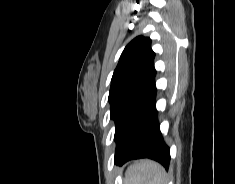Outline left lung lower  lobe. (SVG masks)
<instances>
[{"instance_id": "obj_1", "label": "left lung lower lobe", "mask_w": 235, "mask_h": 184, "mask_svg": "<svg viewBox=\"0 0 235 184\" xmlns=\"http://www.w3.org/2000/svg\"><path fill=\"white\" fill-rule=\"evenodd\" d=\"M156 90L140 116L114 163L122 165L132 159L150 158L161 163L166 170L170 164V149L160 132L156 110Z\"/></svg>"}]
</instances>
